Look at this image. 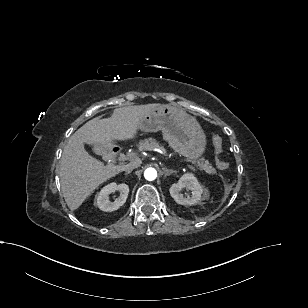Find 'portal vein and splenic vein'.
I'll return each instance as SVG.
<instances>
[{
  "label": "portal vein and splenic vein",
  "mask_w": 308,
  "mask_h": 308,
  "mask_svg": "<svg viewBox=\"0 0 308 308\" xmlns=\"http://www.w3.org/2000/svg\"><path fill=\"white\" fill-rule=\"evenodd\" d=\"M124 158L126 159L127 157H124ZM129 158L135 159L136 157H135L134 154H132V155L129 156Z\"/></svg>",
  "instance_id": "1"
}]
</instances>
